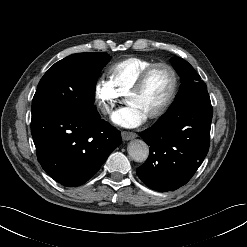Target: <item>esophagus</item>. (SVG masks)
I'll use <instances>...</instances> for the list:
<instances>
[{
  "instance_id": "1",
  "label": "esophagus",
  "mask_w": 247,
  "mask_h": 247,
  "mask_svg": "<svg viewBox=\"0 0 247 247\" xmlns=\"http://www.w3.org/2000/svg\"><path fill=\"white\" fill-rule=\"evenodd\" d=\"M121 136H122L123 140L127 141V140H131V139L136 138L137 134L133 133V132L122 131Z\"/></svg>"
}]
</instances>
